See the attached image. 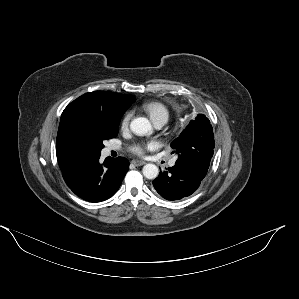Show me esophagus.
<instances>
[{"label": "esophagus", "instance_id": "esophagus-1", "mask_svg": "<svg viewBox=\"0 0 299 299\" xmlns=\"http://www.w3.org/2000/svg\"><path fill=\"white\" fill-rule=\"evenodd\" d=\"M132 163L135 165V166H142L145 164L144 161H141V160H132Z\"/></svg>", "mask_w": 299, "mask_h": 299}]
</instances>
